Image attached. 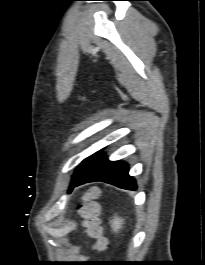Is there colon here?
Instances as JSON below:
<instances>
[{
  "instance_id": "1",
  "label": "colon",
  "mask_w": 205,
  "mask_h": 265,
  "mask_svg": "<svg viewBox=\"0 0 205 265\" xmlns=\"http://www.w3.org/2000/svg\"><path fill=\"white\" fill-rule=\"evenodd\" d=\"M97 194L94 189H90L85 193L83 202L79 206V214L83 218L87 233L95 239L94 248L97 251H103L107 247V240L101 235L99 228V207L95 200Z\"/></svg>"
}]
</instances>
